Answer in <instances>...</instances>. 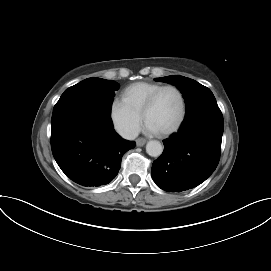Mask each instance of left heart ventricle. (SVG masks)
<instances>
[{
  "mask_svg": "<svg viewBox=\"0 0 271 271\" xmlns=\"http://www.w3.org/2000/svg\"><path fill=\"white\" fill-rule=\"evenodd\" d=\"M180 114V99L174 90L163 91L154 107L147 115V122L153 125L158 132L171 128Z\"/></svg>",
  "mask_w": 271,
  "mask_h": 271,
  "instance_id": "obj_1",
  "label": "left heart ventricle"
}]
</instances>
